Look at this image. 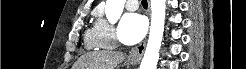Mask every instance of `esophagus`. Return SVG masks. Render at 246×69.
<instances>
[{"instance_id":"esophagus-1","label":"esophagus","mask_w":246,"mask_h":69,"mask_svg":"<svg viewBox=\"0 0 246 69\" xmlns=\"http://www.w3.org/2000/svg\"><path fill=\"white\" fill-rule=\"evenodd\" d=\"M148 3L150 5V2L149 1H148ZM145 46H146V42H143L139 46H136V47L132 48L130 50V52H129L128 59L132 63L139 62L141 60L142 56H143Z\"/></svg>"}]
</instances>
